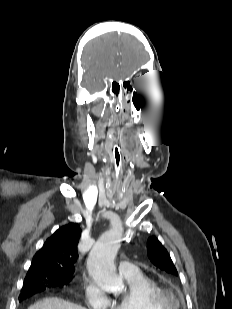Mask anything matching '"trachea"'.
<instances>
[{
    "label": "trachea",
    "mask_w": 232,
    "mask_h": 309,
    "mask_svg": "<svg viewBox=\"0 0 232 309\" xmlns=\"http://www.w3.org/2000/svg\"><path fill=\"white\" fill-rule=\"evenodd\" d=\"M113 163H114V177L116 184L119 182L123 170V159L121 148L118 143L112 145Z\"/></svg>",
    "instance_id": "trachea-1"
}]
</instances>
